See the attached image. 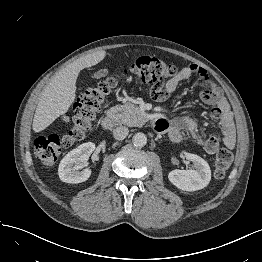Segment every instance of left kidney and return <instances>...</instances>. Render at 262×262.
Returning <instances> with one entry per match:
<instances>
[{
  "instance_id": "5707ae66",
  "label": "left kidney",
  "mask_w": 262,
  "mask_h": 262,
  "mask_svg": "<svg viewBox=\"0 0 262 262\" xmlns=\"http://www.w3.org/2000/svg\"><path fill=\"white\" fill-rule=\"evenodd\" d=\"M184 156L193 163L195 169L173 170L168 174L169 181L184 191L203 189L211 180V170L208 163L195 154L184 152Z\"/></svg>"
}]
</instances>
